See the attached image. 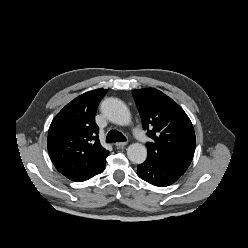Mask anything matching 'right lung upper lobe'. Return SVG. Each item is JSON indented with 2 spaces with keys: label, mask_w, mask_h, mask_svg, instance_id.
<instances>
[{
  "label": "right lung upper lobe",
  "mask_w": 248,
  "mask_h": 248,
  "mask_svg": "<svg viewBox=\"0 0 248 248\" xmlns=\"http://www.w3.org/2000/svg\"><path fill=\"white\" fill-rule=\"evenodd\" d=\"M106 92L96 89L75 98L54 117L49 127L51 161L72 181L88 180L105 168L109 152L100 145L94 117Z\"/></svg>",
  "instance_id": "obj_1"
}]
</instances>
